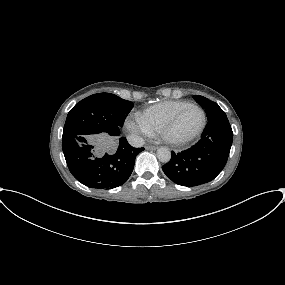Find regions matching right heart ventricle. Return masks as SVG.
<instances>
[{
  "mask_svg": "<svg viewBox=\"0 0 285 285\" xmlns=\"http://www.w3.org/2000/svg\"><path fill=\"white\" fill-rule=\"evenodd\" d=\"M189 104L181 100H167L150 106L137 116L153 133L160 132L164 124Z\"/></svg>",
  "mask_w": 285,
  "mask_h": 285,
  "instance_id": "1",
  "label": "right heart ventricle"
}]
</instances>
